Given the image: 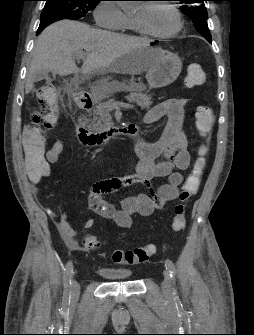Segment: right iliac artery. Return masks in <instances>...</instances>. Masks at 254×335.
<instances>
[{
  "mask_svg": "<svg viewBox=\"0 0 254 335\" xmlns=\"http://www.w3.org/2000/svg\"><path fill=\"white\" fill-rule=\"evenodd\" d=\"M73 271V264L72 261H69L65 268H64V296L63 301L64 303L68 304L71 298V276Z\"/></svg>",
  "mask_w": 254,
  "mask_h": 335,
  "instance_id": "82829eb1",
  "label": "right iliac artery"
}]
</instances>
